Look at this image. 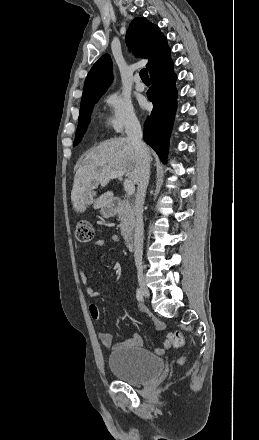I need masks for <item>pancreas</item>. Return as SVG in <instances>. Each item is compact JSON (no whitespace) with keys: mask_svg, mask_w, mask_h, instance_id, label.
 <instances>
[{"mask_svg":"<svg viewBox=\"0 0 259 440\" xmlns=\"http://www.w3.org/2000/svg\"><path fill=\"white\" fill-rule=\"evenodd\" d=\"M120 220L121 235L126 238L130 235L135 224V210L128 200H122L116 210Z\"/></svg>","mask_w":259,"mask_h":440,"instance_id":"pancreas-1","label":"pancreas"}]
</instances>
